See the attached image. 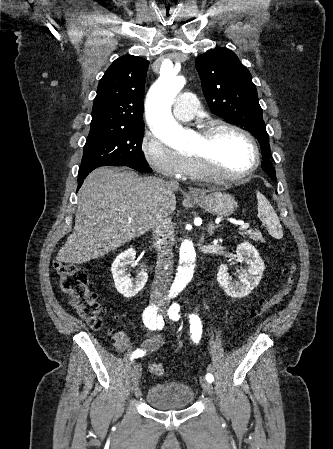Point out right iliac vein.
I'll use <instances>...</instances> for the list:
<instances>
[{
    "mask_svg": "<svg viewBox=\"0 0 333 449\" xmlns=\"http://www.w3.org/2000/svg\"><path fill=\"white\" fill-rule=\"evenodd\" d=\"M141 367L138 363L134 362L132 364V373H131V382H132V390H134L141 378Z\"/></svg>",
    "mask_w": 333,
    "mask_h": 449,
    "instance_id": "63e3f726",
    "label": "right iliac vein"
}]
</instances>
